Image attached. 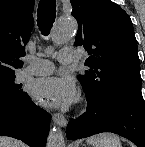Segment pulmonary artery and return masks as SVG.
<instances>
[{"mask_svg":"<svg viewBox=\"0 0 145 147\" xmlns=\"http://www.w3.org/2000/svg\"><path fill=\"white\" fill-rule=\"evenodd\" d=\"M75 57L76 53L71 49L61 50L57 55L61 64H69ZM29 63V66L23 70L26 75H47L54 70L53 63L45 59H30Z\"/></svg>","mask_w":145,"mask_h":147,"instance_id":"pulmonary-artery-1","label":"pulmonary artery"}]
</instances>
